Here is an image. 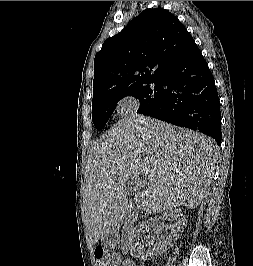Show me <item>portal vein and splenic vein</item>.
I'll list each match as a JSON object with an SVG mask.
<instances>
[{
	"label": "portal vein and splenic vein",
	"instance_id": "obj_1",
	"mask_svg": "<svg viewBox=\"0 0 253 266\" xmlns=\"http://www.w3.org/2000/svg\"><path fill=\"white\" fill-rule=\"evenodd\" d=\"M131 180H132L134 183H136V184H138V185H141V180H139V179H137V178H135V177H132Z\"/></svg>",
	"mask_w": 253,
	"mask_h": 266
}]
</instances>
